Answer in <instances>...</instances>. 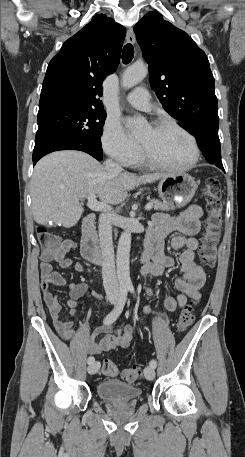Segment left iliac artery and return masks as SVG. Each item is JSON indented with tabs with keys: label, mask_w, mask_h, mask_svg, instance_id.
I'll return each mask as SVG.
<instances>
[{
	"label": "left iliac artery",
	"mask_w": 245,
	"mask_h": 457,
	"mask_svg": "<svg viewBox=\"0 0 245 457\" xmlns=\"http://www.w3.org/2000/svg\"><path fill=\"white\" fill-rule=\"evenodd\" d=\"M128 290L131 292V293H134V287L133 286H128ZM150 367L152 368H156L157 366V361L155 359H152L149 363Z\"/></svg>",
	"instance_id": "obj_1"
}]
</instances>
